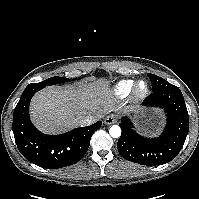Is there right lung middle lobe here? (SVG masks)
Wrapping results in <instances>:
<instances>
[{
	"instance_id": "right-lung-middle-lobe-1",
	"label": "right lung middle lobe",
	"mask_w": 199,
	"mask_h": 199,
	"mask_svg": "<svg viewBox=\"0 0 199 199\" xmlns=\"http://www.w3.org/2000/svg\"><path fill=\"white\" fill-rule=\"evenodd\" d=\"M69 81H70V79H68V78L55 76V77H51V78L44 80L42 82H39V83L29 84L26 88L41 90L42 88H44L46 86L60 84V83L69 82Z\"/></svg>"
}]
</instances>
